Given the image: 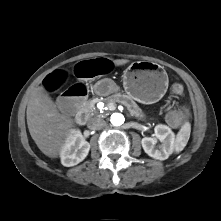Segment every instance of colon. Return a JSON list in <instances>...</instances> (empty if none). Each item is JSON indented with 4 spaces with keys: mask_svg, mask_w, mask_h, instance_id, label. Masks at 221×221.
<instances>
[{
    "mask_svg": "<svg viewBox=\"0 0 221 221\" xmlns=\"http://www.w3.org/2000/svg\"><path fill=\"white\" fill-rule=\"evenodd\" d=\"M112 65L110 61L102 59L97 61H86L77 67V72L83 77H92L98 74L107 73ZM66 75L63 72H54L48 75L44 81V86L49 91L59 89L64 83ZM175 95H181L184 87L180 83H175L171 88ZM86 97L85 88L82 85L74 84L64 92L57 105V112L62 117H69L78 112L83 106ZM192 108L189 104L184 103L179 110H172L167 115V121L170 125L178 127L192 118Z\"/></svg>",
    "mask_w": 221,
    "mask_h": 221,
    "instance_id": "colon-1",
    "label": "colon"
}]
</instances>
